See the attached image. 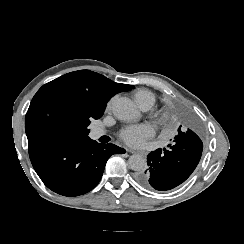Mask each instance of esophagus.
<instances>
[{
	"mask_svg": "<svg viewBox=\"0 0 244 244\" xmlns=\"http://www.w3.org/2000/svg\"><path fill=\"white\" fill-rule=\"evenodd\" d=\"M127 151L130 152V153H132V154H139V155H141V156H143V157H145V158H146V156H147V152L144 151V150H132V149H127Z\"/></svg>",
	"mask_w": 244,
	"mask_h": 244,
	"instance_id": "34e87169",
	"label": "esophagus"
}]
</instances>
